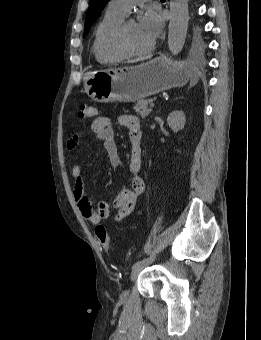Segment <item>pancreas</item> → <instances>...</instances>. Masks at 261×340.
<instances>
[{
  "label": "pancreas",
  "mask_w": 261,
  "mask_h": 340,
  "mask_svg": "<svg viewBox=\"0 0 261 340\" xmlns=\"http://www.w3.org/2000/svg\"><path fill=\"white\" fill-rule=\"evenodd\" d=\"M152 103L151 99L139 100L134 106V110L142 117L146 118L152 111L151 108H148V105Z\"/></svg>",
  "instance_id": "obj_1"
}]
</instances>
